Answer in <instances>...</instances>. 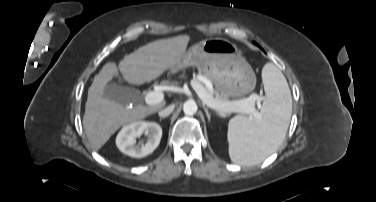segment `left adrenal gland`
<instances>
[{"label":"left adrenal gland","instance_id":"a2214340","mask_svg":"<svg viewBox=\"0 0 376 202\" xmlns=\"http://www.w3.org/2000/svg\"><path fill=\"white\" fill-rule=\"evenodd\" d=\"M203 109H204V111H205V113H206V116H207V118H208V121H210V119H211L210 113H209L208 109L206 108V106H205L204 104H203Z\"/></svg>","mask_w":376,"mask_h":202}]
</instances>
